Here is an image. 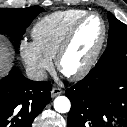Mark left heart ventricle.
<instances>
[{"label":"left heart ventricle","instance_id":"1","mask_svg":"<svg viewBox=\"0 0 127 127\" xmlns=\"http://www.w3.org/2000/svg\"><path fill=\"white\" fill-rule=\"evenodd\" d=\"M101 35L102 24L96 16L88 18L80 26L63 61L65 73H72L86 63L98 45Z\"/></svg>","mask_w":127,"mask_h":127}]
</instances>
